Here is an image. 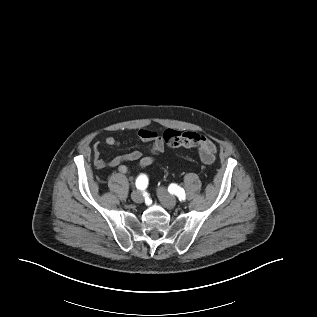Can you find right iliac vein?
<instances>
[{"instance_id":"1","label":"right iliac vein","mask_w":317,"mask_h":317,"mask_svg":"<svg viewBox=\"0 0 317 317\" xmlns=\"http://www.w3.org/2000/svg\"><path fill=\"white\" fill-rule=\"evenodd\" d=\"M131 199L135 202V203H142L143 202V197L141 195V193L139 191H134L131 194Z\"/></svg>"}]
</instances>
